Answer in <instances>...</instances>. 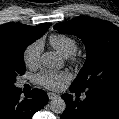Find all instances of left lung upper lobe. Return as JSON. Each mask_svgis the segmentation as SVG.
<instances>
[{"instance_id": "obj_1", "label": "left lung upper lobe", "mask_w": 119, "mask_h": 119, "mask_svg": "<svg viewBox=\"0 0 119 119\" xmlns=\"http://www.w3.org/2000/svg\"><path fill=\"white\" fill-rule=\"evenodd\" d=\"M54 29L77 35L83 40L87 59L72 83L79 91L107 89L119 91V28L91 17H78L58 23Z\"/></svg>"}]
</instances>
